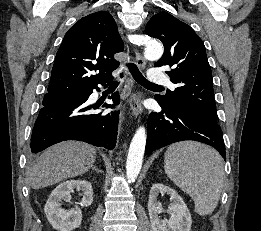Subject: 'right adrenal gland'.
Returning <instances> with one entry per match:
<instances>
[{
	"mask_svg": "<svg viewBox=\"0 0 261 231\" xmlns=\"http://www.w3.org/2000/svg\"><path fill=\"white\" fill-rule=\"evenodd\" d=\"M92 170H94V171L98 172V169H97V167H96V166L92 167Z\"/></svg>",
	"mask_w": 261,
	"mask_h": 231,
	"instance_id": "obj_1",
	"label": "right adrenal gland"
}]
</instances>
